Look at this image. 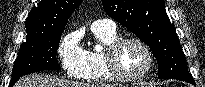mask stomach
I'll return each mask as SVG.
<instances>
[{
  "mask_svg": "<svg viewBox=\"0 0 205 87\" xmlns=\"http://www.w3.org/2000/svg\"><path fill=\"white\" fill-rule=\"evenodd\" d=\"M135 87H145V84H139V86H135Z\"/></svg>",
  "mask_w": 205,
  "mask_h": 87,
  "instance_id": "stomach-1",
  "label": "stomach"
}]
</instances>
